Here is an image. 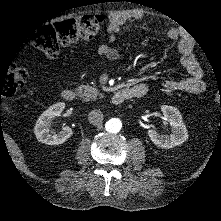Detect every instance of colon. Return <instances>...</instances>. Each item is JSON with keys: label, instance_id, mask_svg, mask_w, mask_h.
Masks as SVG:
<instances>
[{"label": "colon", "instance_id": "obj_1", "mask_svg": "<svg viewBox=\"0 0 221 221\" xmlns=\"http://www.w3.org/2000/svg\"><path fill=\"white\" fill-rule=\"evenodd\" d=\"M106 19L100 15H87L47 24L39 27L32 36V44L47 57L54 58L61 47H67L79 39L91 40L98 37ZM28 78L23 67L11 69L0 81L4 96L14 95Z\"/></svg>", "mask_w": 221, "mask_h": 221}]
</instances>
